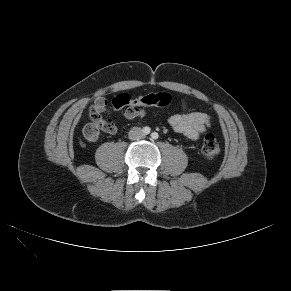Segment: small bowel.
<instances>
[{"instance_id": "obj_1", "label": "small bowel", "mask_w": 291, "mask_h": 291, "mask_svg": "<svg viewBox=\"0 0 291 291\" xmlns=\"http://www.w3.org/2000/svg\"><path fill=\"white\" fill-rule=\"evenodd\" d=\"M107 106V99L104 97H98L96 98L92 109L103 115ZM182 106L183 109L186 108V104L184 102L182 103ZM145 107L148 106L129 105L128 107H125V117L128 119L142 117L145 115ZM168 122L175 132L182 134L190 141H197L211 126L212 118L203 112L184 111L172 115Z\"/></svg>"}]
</instances>
